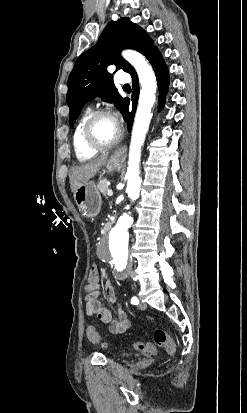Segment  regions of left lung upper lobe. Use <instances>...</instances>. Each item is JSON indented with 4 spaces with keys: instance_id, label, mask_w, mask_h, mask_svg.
<instances>
[{
    "instance_id": "5c2ea615",
    "label": "left lung upper lobe",
    "mask_w": 247,
    "mask_h": 413,
    "mask_svg": "<svg viewBox=\"0 0 247 413\" xmlns=\"http://www.w3.org/2000/svg\"><path fill=\"white\" fill-rule=\"evenodd\" d=\"M131 48L149 59L156 51L152 39L138 25L122 17L111 21L99 37L98 43L82 53L69 75L66 101L70 108L69 121L73 127L84 104L99 96L103 101L114 103L122 112L127 107V98H122L115 88L107 66L115 64L116 70L123 69L133 75L134 68L120 56V51Z\"/></svg>"
}]
</instances>
